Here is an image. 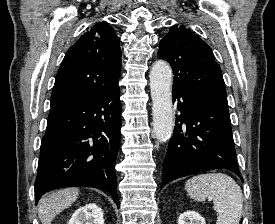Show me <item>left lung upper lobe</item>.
<instances>
[{"instance_id":"5c2ea615","label":"left lung upper lobe","mask_w":275,"mask_h":224,"mask_svg":"<svg viewBox=\"0 0 275 224\" xmlns=\"http://www.w3.org/2000/svg\"><path fill=\"white\" fill-rule=\"evenodd\" d=\"M159 45L158 57L168 61L174 73L173 89L228 107L221 69L200 37L183 25H174Z\"/></svg>"}]
</instances>
